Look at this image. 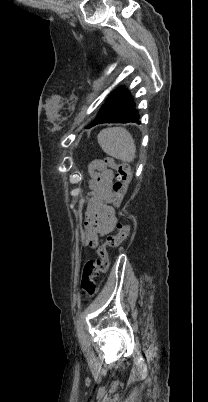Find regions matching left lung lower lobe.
<instances>
[{"label":"left lung lower lobe","instance_id":"obj_1","mask_svg":"<svg viewBox=\"0 0 208 402\" xmlns=\"http://www.w3.org/2000/svg\"><path fill=\"white\" fill-rule=\"evenodd\" d=\"M129 122L140 123L138 112L134 108V102L130 94L127 93L125 97L118 104H116L113 108H111L102 118L90 124L89 127L101 123H129Z\"/></svg>","mask_w":208,"mask_h":402}]
</instances>
